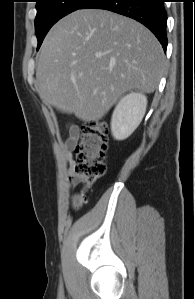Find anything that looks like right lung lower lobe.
Instances as JSON below:
<instances>
[{
	"label": "right lung lower lobe",
	"mask_w": 195,
	"mask_h": 299,
	"mask_svg": "<svg viewBox=\"0 0 195 299\" xmlns=\"http://www.w3.org/2000/svg\"><path fill=\"white\" fill-rule=\"evenodd\" d=\"M165 0H88L80 9L109 10L142 23L167 48Z\"/></svg>",
	"instance_id": "98d812e1"
}]
</instances>
